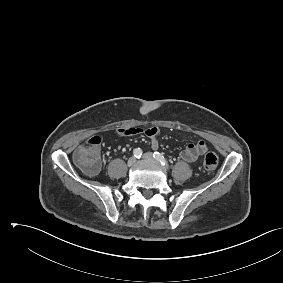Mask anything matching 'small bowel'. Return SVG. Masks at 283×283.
<instances>
[{"label": "small bowel", "mask_w": 283, "mask_h": 283, "mask_svg": "<svg viewBox=\"0 0 283 283\" xmlns=\"http://www.w3.org/2000/svg\"><path fill=\"white\" fill-rule=\"evenodd\" d=\"M118 133L122 136H132L143 133L151 139V146L153 149L158 148V136L160 130L157 127H150L147 129H140L136 127H121L118 129ZM208 150V145L204 140H200L197 143H190L180 152V158L189 163H196L200 156H202Z\"/></svg>", "instance_id": "small-bowel-1"}]
</instances>
